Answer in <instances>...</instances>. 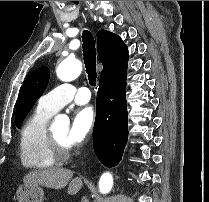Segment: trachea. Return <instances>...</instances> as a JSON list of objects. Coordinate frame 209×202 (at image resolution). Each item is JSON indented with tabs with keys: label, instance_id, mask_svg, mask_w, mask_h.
I'll list each match as a JSON object with an SVG mask.
<instances>
[{
	"label": "trachea",
	"instance_id": "obj_1",
	"mask_svg": "<svg viewBox=\"0 0 209 202\" xmlns=\"http://www.w3.org/2000/svg\"><path fill=\"white\" fill-rule=\"evenodd\" d=\"M83 59L85 64L86 73L88 75L89 84L93 87L96 86V49L95 40L91 32L83 31Z\"/></svg>",
	"mask_w": 209,
	"mask_h": 202
}]
</instances>
